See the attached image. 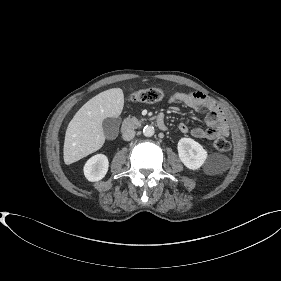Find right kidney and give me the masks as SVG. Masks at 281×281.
I'll return each mask as SVG.
<instances>
[{"label": "right kidney", "mask_w": 281, "mask_h": 281, "mask_svg": "<svg viewBox=\"0 0 281 281\" xmlns=\"http://www.w3.org/2000/svg\"><path fill=\"white\" fill-rule=\"evenodd\" d=\"M108 167V158L103 154H97L88 159L84 165L83 171L88 181L96 182L105 177Z\"/></svg>", "instance_id": "1"}]
</instances>
